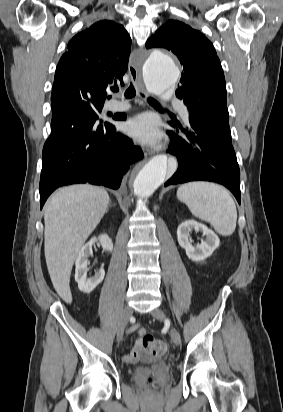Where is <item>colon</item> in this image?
<instances>
[{"label": "colon", "instance_id": "1", "mask_svg": "<svg viewBox=\"0 0 283 412\" xmlns=\"http://www.w3.org/2000/svg\"><path fill=\"white\" fill-rule=\"evenodd\" d=\"M142 345L153 356H163L168 352V346L165 342L155 339L150 335H144L142 337ZM148 385L153 383L152 379L148 380Z\"/></svg>", "mask_w": 283, "mask_h": 412}]
</instances>
